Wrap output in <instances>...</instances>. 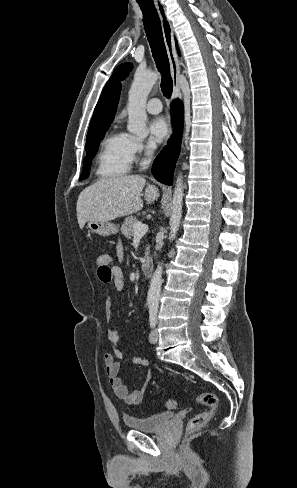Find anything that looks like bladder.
Masks as SVG:
<instances>
[{"label": "bladder", "mask_w": 297, "mask_h": 488, "mask_svg": "<svg viewBox=\"0 0 297 488\" xmlns=\"http://www.w3.org/2000/svg\"><path fill=\"white\" fill-rule=\"evenodd\" d=\"M174 417L172 412H162L146 418L125 415L123 422L129 429L142 432H158L166 428Z\"/></svg>", "instance_id": "bladder-1"}]
</instances>
